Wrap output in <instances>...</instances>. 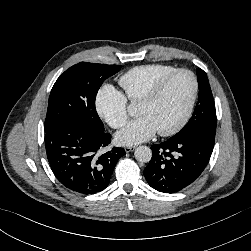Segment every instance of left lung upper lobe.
Wrapping results in <instances>:
<instances>
[{
    "label": "left lung upper lobe",
    "instance_id": "5c2ea615",
    "mask_svg": "<svg viewBox=\"0 0 251 251\" xmlns=\"http://www.w3.org/2000/svg\"><path fill=\"white\" fill-rule=\"evenodd\" d=\"M197 80L199 84V97L194 113L185 127L171 138L185 136L194 132H203L215 137L216 110L212 91L206 73L198 68Z\"/></svg>",
    "mask_w": 251,
    "mask_h": 251
}]
</instances>
